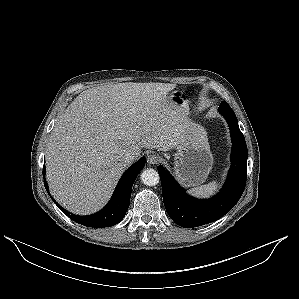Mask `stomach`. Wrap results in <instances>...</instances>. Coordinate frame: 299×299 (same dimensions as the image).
Wrapping results in <instances>:
<instances>
[{
	"label": "stomach",
	"instance_id": "stomach-1",
	"mask_svg": "<svg viewBox=\"0 0 299 299\" xmlns=\"http://www.w3.org/2000/svg\"><path fill=\"white\" fill-rule=\"evenodd\" d=\"M172 103L181 106L188 103L183 91L169 94ZM213 165V155L203 127L190 122L184 143L175 154L174 171L180 183L186 187L200 185L207 179Z\"/></svg>",
	"mask_w": 299,
	"mask_h": 299
}]
</instances>
